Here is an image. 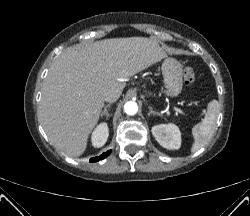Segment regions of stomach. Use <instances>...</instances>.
<instances>
[{
    "label": "stomach",
    "instance_id": "1",
    "mask_svg": "<svg viewBox=\"0 0 250 216\" xmlns=\"http://www.w3.org/2000/svg\"><path fill=\"white\" fill-rule=\"evenodd\" d=\"M163 83L165 90L161 93H154L146 90L148 96L158 98L162 94L170 97L178 96L183 88V70L181 64L173 58H166L162 63Z\"/></svg>",
    "mask_w": 250,
    "mask_h": 216
}]
</instances>
